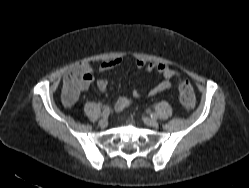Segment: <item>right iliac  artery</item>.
<instances>
[{
    "label": "right iliac artery",
    "mask_w": 249,
    "mask_h": 188,
    "mask_svg": "<svg viewBox=\"0 0 249 188\" xmlns=\"http://www.w3.org/2000/svg\"><path fill=\"white\" fill-rule=\"evenodd\" d=\"M109 114H110V108L109 107H105L104 110H103V112H102V114H101V116L103 118H107L109 116Z\"/></svg>",
    "instance_id": "82829eb1"
}]
</instances>
